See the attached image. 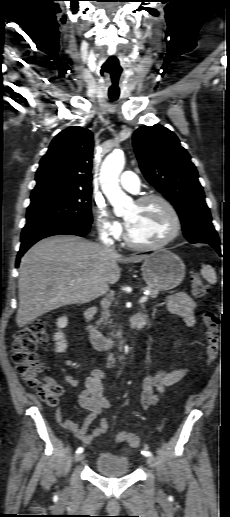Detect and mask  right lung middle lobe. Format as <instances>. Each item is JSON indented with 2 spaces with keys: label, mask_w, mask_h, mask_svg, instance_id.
I'll list each match as a JSON object with an SVG mask.
<instances>
[{
  "label": "right lung middle lobe",
  "mask_w": 230,
  "mask_h": 517,
  "mask_svg": "<svg viewBox=\"0 0 230 517\" xmlns=\"http://www.w3.org/2000/svg\"><path fill=\"white\" fill-rule=\"evenodd\" d=\"M91 190L56 193L31 199L27 223L60 219L91 224Z\"/></svg>",
  "instance_id": "1"
}]
</instances>
